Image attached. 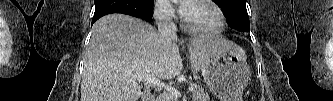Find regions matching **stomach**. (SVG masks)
I'll list each match as a JSON object with an SVG mask.
<instances>
[{
	"label": "stomach",
	"instance_id": "obj_1",
	"mask_svg": "<svg viewBox=\"0 0 333 101\" xmlns=\"http://www.w3.org/2000/svg\"><path fill=\"white\" fill-rule=\"evenodd\" d=\"M214 52L201 68L204 81L220 101H242L250 69L241 47L222 38L209 40Z\"/></svg>",
	"mask_w": 333,
	"mask_h": 101
}]
</instances>
